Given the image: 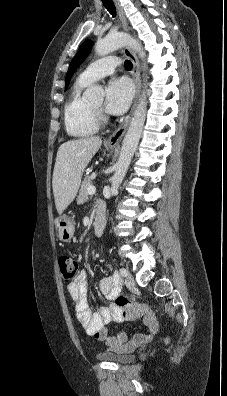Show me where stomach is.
<instances>
[{"label": "stomach", "instance_id": "obj_1", "mask_svg": "<svg viewBox=\"0 0 227 396\" xmlns=\"http://www.w3.org/2000/svg\"><path fill=\"white\" fill-rule=\"evenodd\" d=\"M112 149V147H110ZM56 235L64 242L71 240L75 230V222L72 217L68 215H60L55 220Z\"/></svg>", "mask_w": 227, "mask_h": 396}]
</instances>
